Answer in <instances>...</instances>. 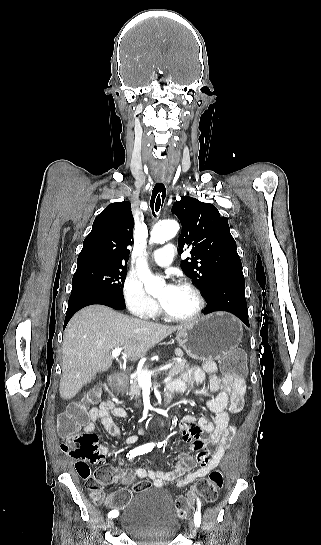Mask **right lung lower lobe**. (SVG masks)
Masks as SVG:
<instances>
[{"label":"right lung lower lobe","mask_w":321,"mask_h":545,"mask_svg":"<svg viewBox=\"0 0 321 545\" xmlns=\"http://www.w3.org/2000/svg\"><path fill=\"white\" fill-rule=\"evenodd\" d=\"M92 304H102L117 310L126 308L124 299L115 298L106 294L96 292H78L71 294L64 326L67 325L68 321L78 310Z\"/></svg>","instance_id":"98d812e1"}]
</instances>
